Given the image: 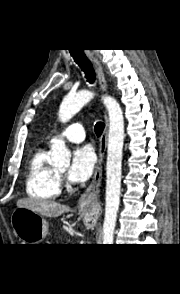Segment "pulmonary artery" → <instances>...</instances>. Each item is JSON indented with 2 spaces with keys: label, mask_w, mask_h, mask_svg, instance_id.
Segmentation results:
<instances>
[{
  "label": "pulmonary artery",
  "mask_w": 180,
  "mask_h": 294,
  "mask_svg": "<svg viewBox=\"0 0 180 294\" xmlns=\"http://www.w3.org/2000/svg\"><path fill=\"white\" fill-rule=\"evenodd\" d=\"M61 135L71 142L79 143L85 139V130L82 124L74 123L68 125Z\"/></svg>",
  "instance_id": "obj_1"
}]
</instances>
